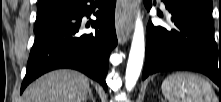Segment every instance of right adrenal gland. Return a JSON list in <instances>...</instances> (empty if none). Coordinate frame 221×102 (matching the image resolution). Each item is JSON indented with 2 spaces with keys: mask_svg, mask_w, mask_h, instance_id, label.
Masks as SVG:
<instances>
[{
  "mask_svg": "<svg viewBox=\"0 0 221 102\" xmlns=\"http://www.w3.org/2000/svg\"><path fill=\"white\" fill-rule=\"evenodd\" d=\"M87 99H90L92 102H95V98L92 94V90H89V96L87 98H85L84 102H87Z\"/></svg>",
  "mask_w": 221,
  "mask_h": 102,
  "instance_id": "1",
  "label": "right adrenal gland"
}]
</instances>
